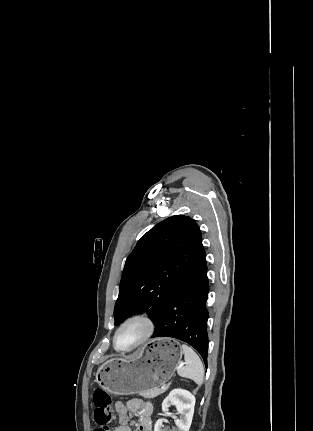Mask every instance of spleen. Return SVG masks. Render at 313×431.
<instances>
[{"label":"spleen","instance_id":"obj_1","mask_svg":"<svg viewBox=\"0 0 313 431\" xmlns=\"http://www.w3.org/2000/svg\"><path fill=\"white\" fill-rule=\"evenodd\" d=\"M181 349L184 352L186 365L178 369V375L201 385L204 380V367L199 356L186 344H183Z\"/></svg>","mask_w":313,"mask_h":431}]
</instances>
